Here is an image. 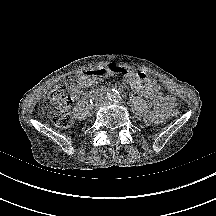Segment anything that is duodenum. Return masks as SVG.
Listing matches in <instances>:
<instances>
[{
  "mask_svg": "<svg viewBox=\"0 0 216 216\" xmlns=\"http://www.w3.org/2000/svg\"><path fill=\"white\" fill-rule=\"evenodd\" d=\"M106 91H107L106 88H100L96 94H101V93H104Z\"/></svg>",
  "mask_w": 216,
  "mask_h": 216,
  "instance_id": "410a0bca",
  "label": "duodenum"
}]
</instances>
